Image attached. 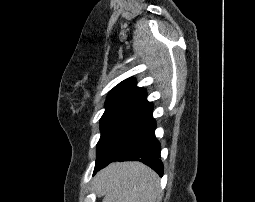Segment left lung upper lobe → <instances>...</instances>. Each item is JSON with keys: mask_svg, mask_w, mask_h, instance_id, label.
I'll use <instances>...</instances> for the list:
<instances>
[{"mask_svg": "<svg viewBox=\"0 0 255 202\" xmlns=\"http://www.w3.org/2000/svg\"><path fill=\"white\" fill-rule=\"evenodd\" d=\"M146 91L133 78L115 86L108 94L105 112L100 120L101 137L96 162L111 159L123 148L132 134L153 112Z\"/></svg>", "mask_w": 255, "mask_h": 202, "instance_id": "1", "label": "left lung upper lobe"}]
</instances>
